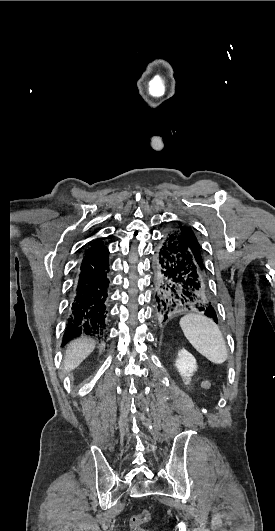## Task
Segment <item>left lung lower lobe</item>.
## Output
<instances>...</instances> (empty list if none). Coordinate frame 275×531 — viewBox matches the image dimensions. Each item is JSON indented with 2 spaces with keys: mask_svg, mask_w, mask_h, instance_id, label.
<instances>
[{
  "mask_svg": "<svg viewBox=\"0 0 275 531\" xmlns=\"http://www.w3.org/2000/svg\"><path fill=\"white\" fill-rule=\"evenodd\" d=\"M156 313L165 322L177 311L202 312L217 323L205 273L174 227L158 243L153 258Z\"/></svg>",
  "mask_w": 275,
  "mask_h": 531,
  "instance_id": "0a47b994",
  "label": "left lung lower lobe"
}]
</instances>
